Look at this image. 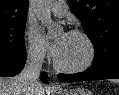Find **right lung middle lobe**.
<instances>
[{"instance_id":"right-lung-middle-lobe-1","label":"right lung middle lobe","mask_w":119,"mask_h":95,"mask_svg":"<svg viewBox=\"0 0 119 95\" xmlns=\"http://www.w3.org/2000/svg\"><path fill=\"white\" fill-rule=\"evenodd\" d=\"M26 21L0 25V53H20L25 50Z\"/></svg>"}]
</instances>
